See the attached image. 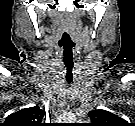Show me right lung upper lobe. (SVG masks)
I'll list each match as a JSON object with an SVG mask.
<instances>
[{
	"instance_id": "right-lung-upper-lobe-1",
	"label": "right lung upper lobe",
	"mask_w": 135,
	"mask_h": 126,
	"mask_svg": "<svg viewBox=\"0 0 135 126\" xmlns=\"http://www.w3.org/2000/svg\"><path fill=\"white\" fill-rule=\"evenodd\" d=\"M44 114L38 106L25 108L10 114L5 123L8 126H37L41 124Z\"/></svg>"
}]
</instances>
